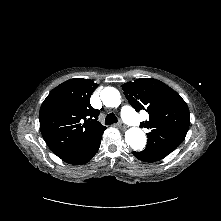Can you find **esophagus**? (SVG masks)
<instances>
[{
	"label": "esophagus",
	"mask_w": 221,
	"mask_h": 221,
	"mask_svg": "<svg viewBox=\"0 0 221 221\" xmlns=\"http://www.w3.org/2000/svg\"><path fill=\"white\" fill-rule=\"evenodd\" d=\"M117 126H118L120 129H122V130H125V129H126V125H125L123 122H121V121L117 124Z\"/></svg>",
	"instance_id": "34e87169"
}]
</instances>
